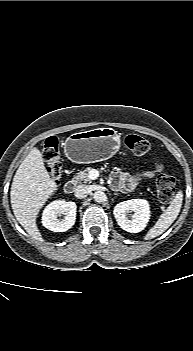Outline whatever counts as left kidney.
I'll list each match as a JSON object with an SVG mask.
<instances>
[{
	"mask_svg": "<svg viewBox=\"0 0 193 351\" xmlns=\"http://www.w3.org/2000/svg\"><path fill=\"white\" fill-rule=\"evenodd\" d=\"M131 212L134 214L130 219L127 215ZM113 214L123 230L138 233L146 227L150 219V207L148 201L144 199H131L117 204Z\"/></svg>",
	"mask_w": 193,
	"mask_h": 351,
	"instance_id": "obj_1",
	"label": "left kidney"
}]
</instances>
